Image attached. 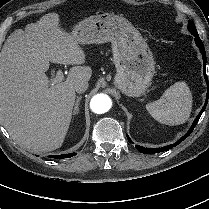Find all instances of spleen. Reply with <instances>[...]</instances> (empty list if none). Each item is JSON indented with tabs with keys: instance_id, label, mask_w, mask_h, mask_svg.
<instances>
[{
	"instance_id": "spleen-1",
	"label": "spleen",
	"mask_w": 209,
	"mask_h": 209,
	"mask_svg": "<svg viewBox=\"0 0 209 209\" xmlns=\"http://www.w3.org/2000/svg\"><path fill=\"white\" fill-rule=\"evenodd\" d=\"M147 111L158 122L170 126L185 123L192 110V94L184 81L167 88L162 97L146 105Z\"/></svg>"
}]
</instances>
